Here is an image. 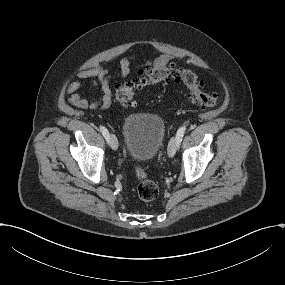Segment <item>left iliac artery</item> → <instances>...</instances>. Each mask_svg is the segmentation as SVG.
I'll list each match as a JSON object with an SVG mask.
<instances>
[{"label": "left iliac artery", "mask_w": 285, "mask_h": 285, "mask_svg": "<svg viewBox=\"0 0 285 285\" xmlns=\"http://www.w3.org/2000/svg\"><path fill=\"white\" fill-rule=\"evenodd\" d=\"M185 131H186V126H182V127L179 128V130L177 131L176 138H177V140H178L179 143L182 141V137L184 136Z\"/></svg>", "instance_id": "1"}]
</instances>
